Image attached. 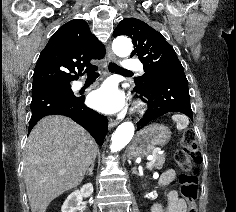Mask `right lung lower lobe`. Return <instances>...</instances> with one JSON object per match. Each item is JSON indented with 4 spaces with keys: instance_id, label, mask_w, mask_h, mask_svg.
<instances>
[{
    "instance_id": "98d812e1",
    "label": "right lung lower lobe",
    "mask_w": 236,
    "mask_h": 212,
    "mask_svg": "<svg viewBox=\"0 0 236 212\" xmlns=\"http://www.w3.org/2000/svg\"><path fill=\"white\" fill-rule=\"evenodd\" d=\"M97 67L94 69L96 70ZM32 116L29 133L35 124L47 115H64L84 127L99 145L108 131V119L84 104V96L70 97L55 86L32 87Z\"/></svg>"
}]
</instances>
